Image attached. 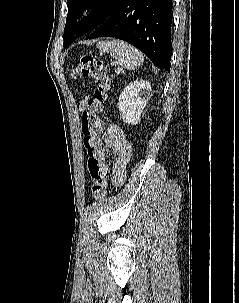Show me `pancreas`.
<instances>
[{
    "label": "pancreas",
    "mask_w": 239,
    "mask_h": 303,
    "mask_svg": "<svg viewBox=\"0 0 239 303\" xmlns=\"http://www.w3.org/2000/svg\"><path fill=\"white\" fill-rule=\"evenodd\" d=\"M118 72H122V69H119Z\"/></svg>",
    "instance_id": "1"
}]
</instances>
